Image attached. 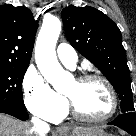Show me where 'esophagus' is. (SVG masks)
<instances>
[{
    "label": "esophagus",
    "mask_w": 136,
    "mask_h": 136,
    "mask_svg": "<svg viewBox=\"0 0 136 136\" xmlns=\"http://www.w3.org/2000/svg\"><path fill=\"white\" fill-rule=\"evenodd\" d=\"M63 129L62 128H57V132H62Z\"/></svg>",
    "instance_id": "obj_1"
}]
</instances>
